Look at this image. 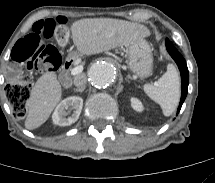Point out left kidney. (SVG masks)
Wrapping results in <instances>:
<instances>
[{"mask_svg":"<svg viewBox=\"0 0 215 183\" xmlns=\"http://www.w3.org/2000/svg\"><path fill=\"white\" fill-rule=\"evenodd\" d=\"M131 106L134 110L138 112H142L144 110V107L141 101L134 97L131 98Z\"/></svg>","mask_w":215,"mask_h":183,"instance_id":"obj_1","label":"left kidney"}]
</instances>
